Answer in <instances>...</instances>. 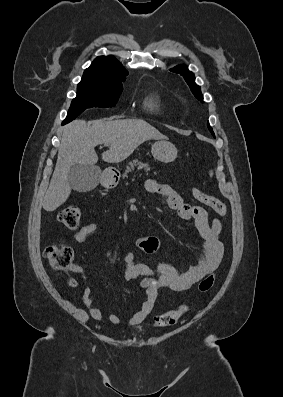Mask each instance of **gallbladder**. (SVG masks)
Masks as SVG:
<instances>
[{
  "mask_svg": "<svg viewBox=\"0 0 283 397\" xmlns=\"http://www.w3.org/2000/svg\"><path fill=\"white\" fill-rule=\"evenodd\" d=\"M100 169L92 165H73L67 174L71 188L78 192H89L99 182Z\"/></svg>",
  "mask_w": 283,
  "mask_h": 397,
  "instance_id": "gallbladder-1",
  "label": "gallbladder"
}]
</instances>
